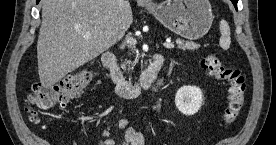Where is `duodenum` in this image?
Listing matches in <instances>:
<instances>
[{
    "label": "duodenum",
    "instance_id": "obj_1",
    "mask_svg": "<svg viewBox=\"0 0 276 145\" xmlns=\"http://www.w3.org/2000/svg\"><path fill=\"white\" fill-rule=\"evenodd\" d=\"M104 67L110 72L111 78L116 85L120 97L133 100L139 97L141 92L158 89L163 83V79L158 76L159 70L164 64V56L155 54L151 63L141 75L140 79L135 82H129L123 75L122 71L116 64L114 54L106 52L102 56Z\"/></svg>",
    "mask_w": 276,
    "mask_h": 145
}]
</instances>
